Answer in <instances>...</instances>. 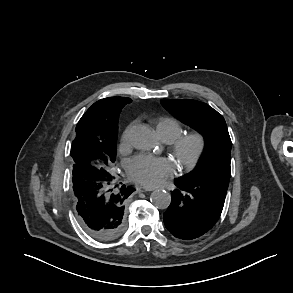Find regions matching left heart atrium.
I'll use <instances>...</instances> for the list:
<instances>
[{"mask_svg":"<svg viewBox=\"0 0 293 293\" xmlns=\"http://www.w3.org/2000/svg\"><path fill=\"white\" fill-rule=\"evenodd\" d=\"M172 163L166 158L138 155L128 162L130 177L144 185L152 186L171 175Z\"/></svg>","mask_w":293,"mask_h":293,"instance_id":"1","label":"left heart atrium"}]
</instances>
